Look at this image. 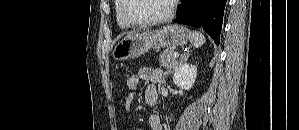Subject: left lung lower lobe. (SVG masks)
I'll return each mask as SVG.
<instances>
[{
  "mask_svg": "<svg viewBox=\"0 0 299 130\" xmlns=\"http://www.w3.org/2000/svg\"><path fill=\"white\" fill-rule=\"evenodd\" d=\"M226 0H181L174 22L203 27L218 45Z\"/></svg>",
  "mask_w": 299,
  "mask_h": 130,
  "instance_id": "0a47b994",
  "label": "left lung lower lobe"
}]
</instances>
